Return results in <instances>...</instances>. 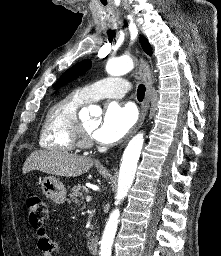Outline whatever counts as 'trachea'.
Masks as SVG:
<instances>
[{
  "label": "trachea",
  "instance_id": "1",
  "mask_svg": "<svg viewBox=\"0 0 221 256\" xmlns=\"http://www.w3.org/2000/svg\"><path fill=\"white\" fill-rule=\"evenodd\" d=\"M145 91H146V88L143 84H140L138 86V90H137V99L142 102L143 99H144V96H145Z\"/></svg>",
  "mask_w": 221,
  "mask_h": 256
}]
</instances>
